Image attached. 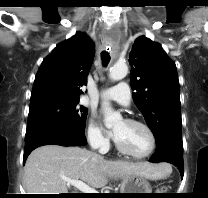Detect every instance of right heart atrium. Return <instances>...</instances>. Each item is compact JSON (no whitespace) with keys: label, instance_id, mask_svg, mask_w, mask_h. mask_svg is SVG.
Listing matches in <instances>:
<instances>
[{"label":"right heart atrium","instance_id":"1","mask_svg":"<svg viewBox=\"0 0 208 198\" xmlns=\"http://www.w3.org/2000/svg\"><path fill=\"white\" fill-rule=\"evenodd\" d=\"M87 140L92 147L101 152L106 151L109 147V140L103 135L101 129L93 120H91L88 124Z\"/></svg>","mask_w":208,"mask_h":198}]
</instances>
